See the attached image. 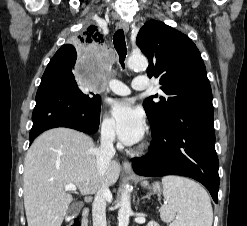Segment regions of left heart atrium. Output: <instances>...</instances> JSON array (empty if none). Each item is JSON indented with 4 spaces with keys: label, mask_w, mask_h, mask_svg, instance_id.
Masks as SVG:
<instances>
[{
    "label": "left heart atrium",
    "mask_w": 247,
    "mask_h": 226,
    "mask_svg": "<svg viewBox=\"0 0 247 226\" xmlns=\"http://www.w3.org/2000/svg\"><path fill=\"white\" fill-rule=\"evenodd\" d=\"M111 115L119 139L125 145L141 141L146 130L144 115L140 109L127 99L111 103Z\"/></svg>",
    "instance_id": "obj_1"
}]
</instances>
